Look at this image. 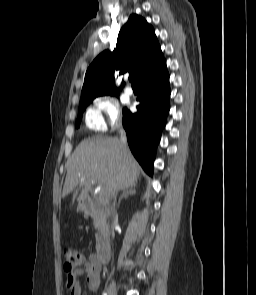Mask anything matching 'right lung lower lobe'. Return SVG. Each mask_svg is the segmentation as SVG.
<instances>
[{
	"label": "right lung lower lobe",
	"mask_w": 256,
	"mask_h": 295,
	"mask_svg": "<svg viewBox=\"0 0 256 295\" xmlns=\"http://www.w3.org/2000/svg\"><path fill=\"white\" fill-rule=\"evenodd\" d=\"M137 84L139 87L137 100L140 104L134 114L127 108L123 109V127L133 155L142 168L152 175L156 148L170 109L166 60L144 73Z\"/></svg>",
	"instance_id": "1"
}]
</instances>
